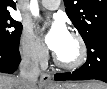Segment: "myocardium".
I'll use <instances>...</instances> for the list:
<instances>
[{
    "mask_svg": "<svg viewBox=\"0 0 107 89\" xmlns=\"http://www.w3.org/2000/svg\"><path fill=\"white\" fill-rule=\"evenodd\" d=\"M69 34L74 39V41L78 46L77 58L72 62H65L61 60L56 54H54V62L58 67L62 69L75 70L80 68L86 62L88 56V50L83 37L78 32L71 31Z\"/></svg>",
    "mask_w": 107,
    "mask_h": 89,
    "instance_id": "f54148a6",
    "label": "myocardium"
}]
</instances>
